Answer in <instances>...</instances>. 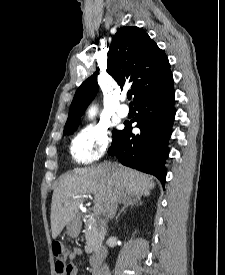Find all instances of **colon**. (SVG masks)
<instances>
[{"instance_id":"obj_1","label":"colon","mask_w":225,"mask_h":275,"mask_svg":"<svg viewBox=\"0 0 225 275\" xmlns=\"http://www.w3.org/2000/svg\"><path fill=\"white\" fill-rule=\"evenodd\" d=\"M52 251L54 257L57 259L55 267L56 275H65L69 270L66 264V259L69 254L68 248L64 243L54 241L52 243Z\"/></svg>"}]
</instances>
